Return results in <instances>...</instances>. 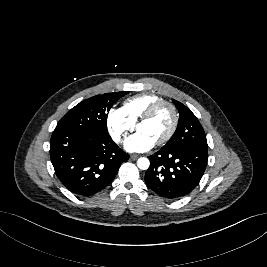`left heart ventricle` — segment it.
I'll list each match as a JSON object with an SVG mask.
<instances>
[{
	"label": "left heart ventricle",
	"instance_id": "left-heart-ventricle-1",
	"mask_svg": "<svg viewBox=\"0 0 267 267\" xmlns=\"http://www.w3.org/2000/svg\"><path fill=\"white\" fill-rule=\"evenodd\" d=\"M172 113L168 107H163L152 119L142 123L138 131L143 132L158 142L169 131L172 125Z\"/></svg>",
	"mask_w": 267,
	"mask_h": 267
}]
</instances>
